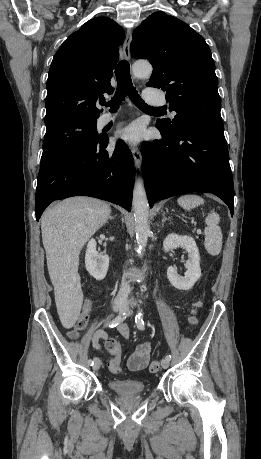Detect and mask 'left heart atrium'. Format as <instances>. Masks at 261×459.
<instances>
[{
	"instance_id": "1",
	"label": "left heart atrium",
	"mask_w": 261,
	"mask_h": 459,
	"mask_svg": "<svg viewBox=\"0 0 261 459\" xmlns=\"http://www.w3.org/2000/svg\"><path fill=\"white\" fill-rule=\"evenodd\" d=\"M117 137L118 139L129 144L138 143L142 138V128L139 124L133 123L121 129L118 132Z\"/></svg>"
}]
</instances>
